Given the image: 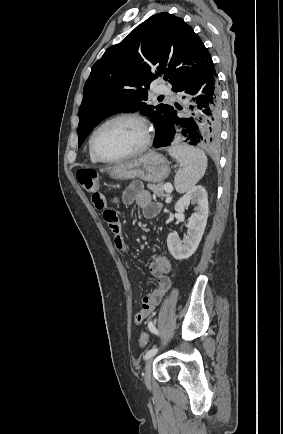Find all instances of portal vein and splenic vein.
Wrapping results in <instances>:
<instances>
[{
    "instance_id": "1",
    "label": "portal vein and splenic vein",
    "mask_w": 283,
    "mask_h": 434,
    "mask_svg": "<svg viewBox=\"0 0 283 434\" xmlns=\"http://www.w3.org/2000/svg\"><path fill=\"white\" fill-rule=\"evenodd\" d=\"M164 189H165V192H166V193H171L172 190H173V187H172V185H171L170 183H166V184L164 185ZM167 202H168V201H167Z\"/></svg>"
}]
</instances>
